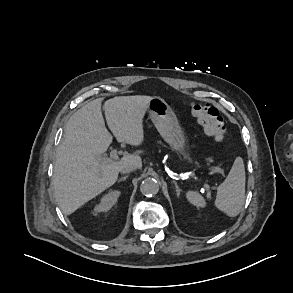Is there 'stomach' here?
Instances as JSON below:
<instances>
[{
    "label": "stomach",
    "mask_w": 293,
    "mask_h": 293,
    "mask_svg": "<svg viewBox=\"0 0 293 293\" xmlns=\"http://www.w3.org/2000/svg\"><path fill=\"white\" fill-rule=\"evenodd\" d=\"M151 120L163 139L184 160L191 161L185 134L170 106L160 97H152L148 105Z\"/></svg>",
    "instance_id": "0dacf381"
}]
</instances>
